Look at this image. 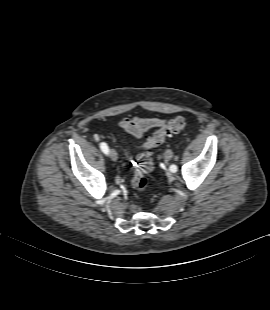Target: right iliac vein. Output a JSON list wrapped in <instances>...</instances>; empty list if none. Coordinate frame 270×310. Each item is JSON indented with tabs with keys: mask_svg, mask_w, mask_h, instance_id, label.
<instances>
[{
	"mask_svg": "<svg viewBox=\"0 0 270 310\" xmlns=\"http://www.w3.org/2000/svg\"><path fill=\"white\" fill-rule=\"evenodd\" d=\"M109 156L113 161H116L118 159L117 152L114 149H111L109 151Z\"/></svg>",
	"mask_w": 270,
	"mask_h": 310,
	"instance_id": "obj_1",
	"label": "right iliac vein"
}]
</instances>
